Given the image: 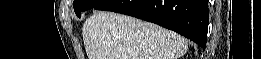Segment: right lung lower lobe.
Returning <instances> with one entry per match:
<instances>
[{
	"instance_id": "right-lung-lower-lobe-1",
	"label": "right lung lower lobe",
	"mask_w": 261,
	"mask_h": 59,
	"mask_svg": "<svg viewBox=\"0 0 261 59\" xmlns=\"http://www.w3.org/2000/svg\"><path fill=\"white\" fill-rule=\"evenodd\" d=\"M156 23L205 47L209 23L207 0H105L94 7Z\"/></svg>"
}]
</instances>
